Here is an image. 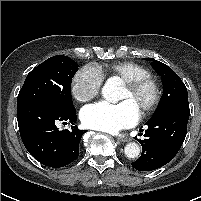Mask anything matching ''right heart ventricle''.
<instances>
[{
  "mask_svg": "<svg viewBox=\"0 0 201 201\" xmlns=\"http://www.w3.org/2000/svg\"><path fill=\"white\" fill-rule=\"evenodd\" d=\"M102 77L118 78L123 82L148 76L149 71L133 61H119L98 68Z\"/></svg>",
  "mask_w": 201,
  "mask_h": 201,
  "instance_id": "1",
  "label": "right heart ventricle"
}]
</instances>
